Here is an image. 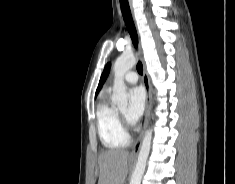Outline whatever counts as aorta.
Returning a JSON list of instances; mask_svg holds the SVG:
<instances>
[{
    "label": "aorta",
    "mask_w": 235,
    "mask_h": 184,
    "mask_svg": "<svg viewBox=\"0 0 235 184\" xmlns=\"http://www.w3.org/2000/svg\"><path fill=\"white\" fill-rule=\"evenodd\" d=\"M135 64L136 58L133 56V54H123V56L117 58L113 66L115 92L112 96V102L113 104H116L118 108H122V106H128L129 94L126 90L124 76L128 70H131L132 66H135ZM151 142L152 130H146L142 144L140 146L138 162L136 164L135 172L132 174L130 184H141L142 176L145 172L146 162L151 148Z\"/></svg>",
    "instance_id": "obj_1"
}]
</instances>
